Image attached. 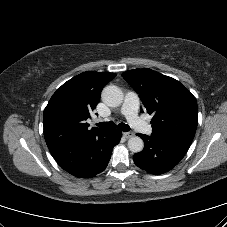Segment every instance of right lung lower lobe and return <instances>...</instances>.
Returning <instances> with one entry per match:
<instances>
[{"instance_id": "obj_1", "label": "right lung lower lobe", "mask_w": 227, "mask_h": 227, "mask_svg": "<svg viewBox=\"0 0 227 227\" xmlns=\"http://www.w3.org/2000/svg\"><path fill=\"white\" fill-rule=\"evenodd\" d=\"M121 136L119 130H103L63 142L49 150L65 171L78 178H90L105 170L112 149L120 142Z\"/></svg>"}]
</instances>
